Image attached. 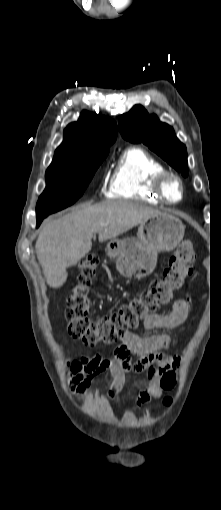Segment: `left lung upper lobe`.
Wrapping results in <instances>:
<instances>
[{
  "label": "left lung upper lobe",
  "instance_id": "1",
  "mask_svg": "<svg viewBox=\"0 0 221 510\" xmlns=\"http://www.w3.org/2000/svg\"><path fill=\"white\" fill-rule=\"evenodd\" d=\"M120 132L126 140L144 143L156 152L172 167L187 176V151L175 136L169 125L158 120L156 115H149L141 105H135L119 121Z\"/></svg>",
  "mask_w": 221,
  "mask_h": 510
}]
</instances>
